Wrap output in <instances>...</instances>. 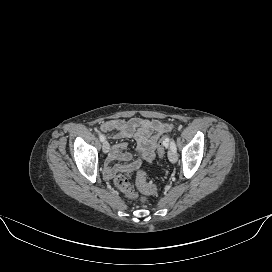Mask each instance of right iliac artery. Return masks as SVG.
<instances>
[{"label":"right iliac artery","instance_id":"obj_1","mask_svg":"<svg viewBox=\"0 0 272 272\" xmlns=\"http://www.w3.org/2000/svg\"><path fill=\"white\" fill-rule=\"evenodd\" d=\"M99 138H100V141L101 142H104L105 141V136L103 134H100L99 135Z\"/></svg>","mask_w":272,"mask_h":272}]
</instances>
